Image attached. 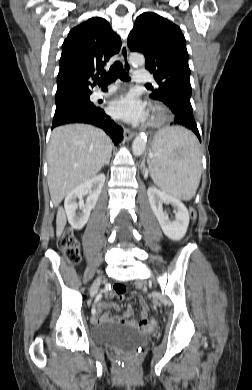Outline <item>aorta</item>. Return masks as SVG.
Returning a JSON list of instances; mask_svg holds the SVG:
<instances>
[{
	"label": "aorta",
	"mask_w": 252,
	"mask_h": 390,
	"mask_svg": "<svg viewBox=\"0 0 252 390\" xmlns=\"http://www.w3.org/2000/svg\"><path fill=\"white\" fill-rule=\"evenodd\" d=\"M129 61L132 65L142 66L145 63V58L143 55L138 53H133L129 57ZM146 137L144 135L137 136L132 143V151L135 156H140L146 148Z\"/></svg>",
	"instance_id": "1"
}]
</instances>
